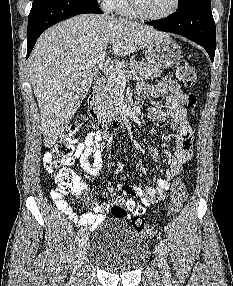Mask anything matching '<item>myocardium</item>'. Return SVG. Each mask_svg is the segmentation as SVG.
Returning a JSON list of instances; mask_svg holds the SVG:
<instances>
[{"label":"myocardium","mask_w":233,"mask_h":286,"mask_svg":"<svg viewBox=\"0 0 233 286\" xmlns=\"http://www.w3.org/2000/svg\"><path fill=\"white\" fill-rule=\"evenodd\" d=\"M128 3L136 16L148 21H162L168 19L177 13L180 5L179 0H174L173 7L168 13L160 16H152L143 11L140 6L139 0H128Z\"/></svg>","instance_id":"obj_1"}]
</instances>
